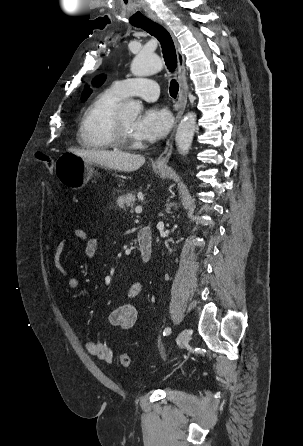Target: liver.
Returning a JSON list of instances; mask_svg holds the SVG:
<instances>
[{
  "label": "liver",
  "instance_id": "6515ba94",
  "mask_svg": "<svg viewBox=\"0 0 303 446\" xmlns=\"http://www.w3.org/2000/svg\"><path fill=\"white\" fill-rule=\"evenodd\" d=\"M68 152L74 153L88 162L121 172L136 171L145 163V157L142 155L120 151L69 148Z\"/></svg>",
  "mask_w": 303,
  "mask_h": 446
}]
</instances>
